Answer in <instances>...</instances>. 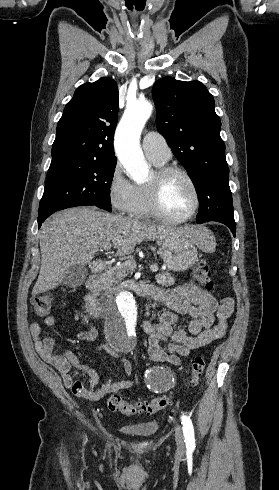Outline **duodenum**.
Instances as JSON below:
<instances>
[{"mask_svg":"<svg viewBox=\"0 0 279 490\" xmlns=\"http://www.w3.org/2000/svg\"><path fill=\"white\" fill-rule=\"evenodd\" d=\"M90 269L94 274H99L104 269V263L100 260H95L91 262ZM121 288L133 291L140 296H147L149 292L148 285L137 280L123 281L121 283ZM85 308L87 312L94 317L100 316L103 312V306L93 292H90L85 296Z\"/></svg>","mask_w":279,"mask_h":490,"instance_id":"410a0bca","label":"duodenum"}]
</instances>
